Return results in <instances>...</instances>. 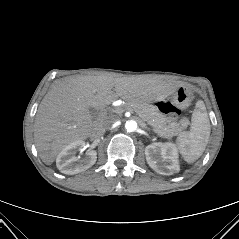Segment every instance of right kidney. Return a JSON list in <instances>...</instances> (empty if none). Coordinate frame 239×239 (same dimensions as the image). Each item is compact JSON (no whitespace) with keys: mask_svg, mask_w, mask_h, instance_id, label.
<instances>
[{"mask_svg":"<svg viewBox=\"0 0 239 239\" xmlns=\"http://www.w3.org/2000/svg\"><path fill=\"white\" fill-rule=\"evenodd\" d=\"M84 146V141H76L66 146L56 159L57 168L64 174L73 175L92 167L97 160V152L95 150H88L82 159L75 155Z\"/></svg>","mask_w":239,"mask_h":239,"instance_id":"obj_1","label":"right kidney"}]
</instances>
